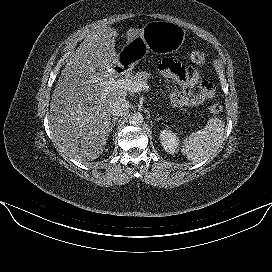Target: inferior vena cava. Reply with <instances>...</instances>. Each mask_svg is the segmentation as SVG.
I'll list each match as a JSON object with an SVG mask.
<instances>
[{
  "label": "inferior vena cava",
  "mask_w": 272,
  "mask_h": 272,
  "mask_svg": "<svg viewBox=\"0 0 272 272\" xmlns=\"http://www.w3.org/2000/svg\"><path fill=\"white\" fill-rule=\"evenodd\" d=\"M129 109V102L123 98L115 100L111 104V111L114 116H123Z\"/></svg>",
  "instance_id": "602c4592"
}]
</instances>
